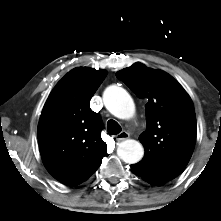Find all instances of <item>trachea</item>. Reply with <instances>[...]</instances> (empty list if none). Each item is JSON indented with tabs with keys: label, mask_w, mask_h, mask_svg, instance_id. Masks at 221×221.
<instances>
[{
	"label": "trachea",
	"mask_w": 221,
	"mask_h": 221,
	"mask_svg": "<svg viewBox=\"0 0 221 221\" xmlns=\"http://www.w3.org/2000/svg\"><path fill=\"white\" fill-rule=\"evenodd\" d=\"M107 131L110 135H116L122 131V128L115 120H109L107 122Z\"/></svg>",
	"instance_id": "obj_1"
}]
</instances>
